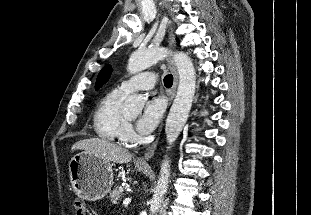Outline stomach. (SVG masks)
Listing matches in <instances>:
<instances>
[{
    "label": "stomach",
    "instance_id": "obj_1",
    "mask_svg": "<svg viewBox=\"0 0 311 215\" xmlns=\"http://www.w3.org/2000/svg\"><path fill=\"white\" fill-rule=\"evenodd\" d=\"M137 170L143 171L144 167L137 166ZM69 177L74 192L80 198L100 200L112 187V164L83 151L74 155L69 162Z\"/></svg>",
    "mask_w": 311,
    "mask_h": 215
}]
</instances>
